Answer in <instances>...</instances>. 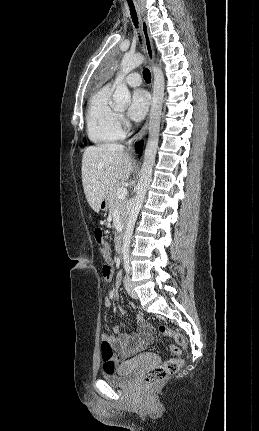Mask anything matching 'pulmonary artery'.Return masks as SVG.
<instances>
[{
  "mask_svg": "<svg viewBox=\"0 0 259 431\" xmlns=\"http://www.w3.org/2000/svg\"><path fill=\"white\" fill-rule=\"evenodd\" d=\"M125 81L129 86L137 87L141 84V77L138 73H131L126 77Z\"/></svg>",
  "mask_w": 259,
  "mask_h": 431,
  "instance_id": "1",
  "label": "pulmonary artery"
}]
</instances>
